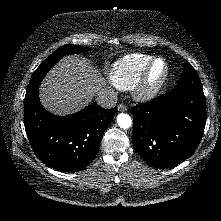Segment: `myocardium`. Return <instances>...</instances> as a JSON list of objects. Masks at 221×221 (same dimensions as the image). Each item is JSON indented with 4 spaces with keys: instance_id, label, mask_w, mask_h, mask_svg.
<instances>
[{
    "instance_id": "f54148a6",
    "label": "myocardium",
    "mask_w": 221,
    "mask_h": 221,
    "mask_svg": "<svg viewBox=\"0 0 221 221\" xmlns=\"http://www.w3.org/2000/svg\"><path fill=\"white\" fill-rule=\"evenodd\" d=\"M162 61L164 64V71L160 78L155 82H151L150 76L152 69L156 62ZM169 76V65L165 58L155 57L145 67L144 71L140 75L138 81L133 87L134 96L138 100H151L155 98L163 89Z\"/></svg>"
}]
</instances>
